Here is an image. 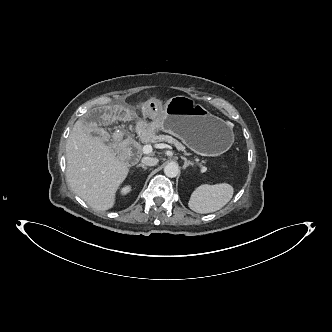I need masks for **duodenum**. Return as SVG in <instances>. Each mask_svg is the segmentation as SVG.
Listing matches in <instances>:
<instances>
[{
  "mask_svg": "<svg viewBox=\"0 0 332 332\" xmlns=\"http://www.w3.org/2000/svg\"><path fill=\"white\" fill-rule=\"evenodd\" d=\"M127 156H128L129 158H134V157L136 156V153H135L134 150H131V151H128V152H127Z\"/></svg>",
  "mask_w": 332,
  "mask_h": 332,
  "instance_id": "obj_1",
  "label": "duodenum"
}]
</instances>
